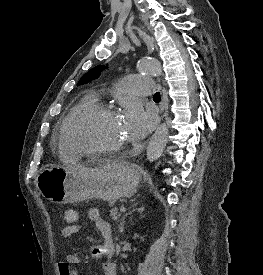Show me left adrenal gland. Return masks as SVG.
<instances>
[{"label": "left adrenal gland", "mask_w": 263, "mask_h": 275, "mask_svg": "<svg viewBox=\"0 0 263 275\" xmlns=\"http://www.w3.org/2000/svg\"><path fill=\"white\" fill-rule=\"evenodd\" d=\"M133 206H137L136 203L133 204ZM144 207H140V208H136V209H133L132 211H130L128 214H125L124 217L122 218L121 222H120V226H119V229L121 232H123V228H124V223H125V218L127 215H131L133 212H135L136 210L140 213H142L144 211Z\"/></svg>", "instance_id": "left-adrenal-gland-1"}]
</instances>
